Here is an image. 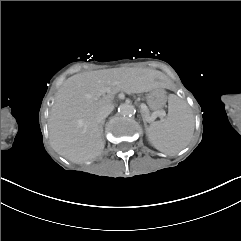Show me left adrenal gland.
Returning <instances> with one entry per match:
<instances>
[{
  "mask_svg": "<svg viewBox=\"0 0 241 241\" xmlns=\"http://www.w3.org/2000/svg\"><path fill=\"white\" fill-rule=\"evenodd\" d=\"M141 115H142L143 123H144V125H146V121H145V115H144V113H141Z\"/></svg>",
  "mask_w": 241,
  "mask_h": 241,
  "instance_id": "1",
  "label": "left adrenal gland"
}]
</instances>
